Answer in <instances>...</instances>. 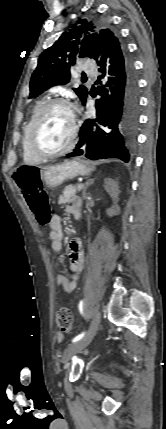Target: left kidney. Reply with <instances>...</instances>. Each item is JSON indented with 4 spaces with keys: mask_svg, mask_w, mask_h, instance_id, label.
I'll return each mask as SVG.
<instances>
[{
    "mask_svg": "<svg viewBox=\"0 0 166 429\" xmlns=\"http://www.w3.org/2000/svg\"><path fill=\"white\" fill-rule=\"evenodd\" d=\"M104 188L106 190V192L112 197L113 200V205L111 208L107 209V215L112 217L114 215L119 214L120 212V208L118 206V201H119V186H118V182L111 179V178H107L104 180Z\"/></svg>",
    "mask_w": 166,
    "mask_h": 429,
    "instance_id": "1",
    "label": "left kidney"
}]
</instances>
